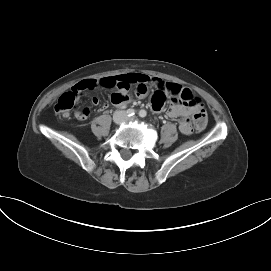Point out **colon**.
Instances as JSON below:
<instances>
[{"mask_svg":"<svg viewBox=\"0 0 271 271\" xmlns=\"http://www.w3.org/2000/svg\"><path fill=\"white\" fill-rule=\"evenodd\" d=\"M80 93L81 91L79 89H72L71 91L63 93L58 98L55 104L54 107L55 112L60 116L68 117L71 114V112L76 108L77 98ZM182 100L189 102L193 105H196L198 107V111L193 117L194 126L197 131L204 130L207 124V116L200 100L197 98H193L188 94H184L182 96Z\"/></svg>","mask_w":271,"mask_h":271,"instance_id":"obj_1","label":"colon"}]
</instances>
